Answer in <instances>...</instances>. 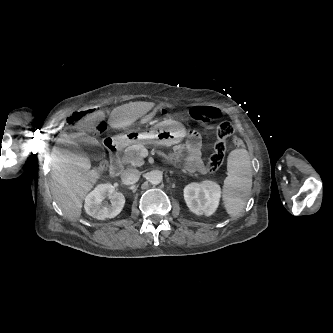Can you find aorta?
Returning <instances> with one entry per match:
<instances>
[{"mask_svg": "<svg viewBox=\"0 0 333 333\" xmlns=\"http://www.w3.org/2000/svg\"><path fill=\"white\" fill-rule=\"evenodd\" d=\"M148 181L153 184V185H157L159 184L162 179V173L159 170H152L148 173V177H147Z\"/></svg>", "mask_w": 333, "mask_h": 333, "instance_id": "obj_1", "label": "aorta"}]
</instances>
